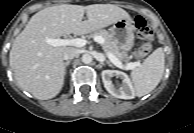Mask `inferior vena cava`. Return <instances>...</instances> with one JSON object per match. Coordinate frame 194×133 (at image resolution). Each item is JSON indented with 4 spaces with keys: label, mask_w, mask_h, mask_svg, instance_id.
I'll list each match as a JSON object with an SVG mask.
<instances>
[{
    "label": "inferior vena cava",
    "mask_w": 194,
    "mask_h": 133,
    "mask_svg": "<svg viewBox=\"0 0 194 133\" xmlns=\"http://www.w3.org/2000/svg\"><path fill=\"white\" fill-rule=\"evenodd\" d=\"M79 55V51L76 48L68 47L64 54H63V59L64 60H70Z\"/></svg>",
    "instance_id": "inferior-vena-cava-1"
}]
</instances>
